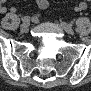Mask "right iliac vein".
Masks as SVG:
<instances>
[{
  "label": "right iliac vein",
  "instance_id": "right-iliac-vein-1",
  "mask_svg": "<svg viewBox=\"0 0 91 91\" xmlns=\"http://www.w3.org/2000/svg\"><path fill=\"white\" fill-rule=\"evenodd\" d=\"M20 30L21 32H27L29 30V22H24L21 26H20Z\"/></svg>",
  "mask_w": 91,
  "mask_h": 91
}]
</instances>
